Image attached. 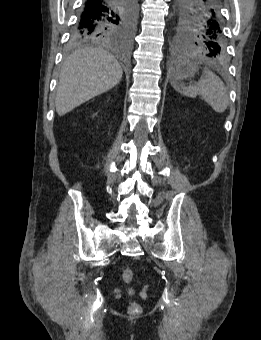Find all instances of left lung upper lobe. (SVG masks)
Instances as JSON below:
<instances>
[{"instance_id":"obj_1","label":"left lung upper lobe","mask_w":261,"mask_h":340,"mask_svg":"<svg viewBox=\"0 0 261 340\" xmlns=\"http://www.w3.org/2000/svg\"><path fill=\"white\" fill-rule=\"evenodd\" d=\"M173 41L177 47L197 49L206 56L224 59L226 37L220 8L210 16L198 0H177Z\"/></svg>"}]
</instances>
